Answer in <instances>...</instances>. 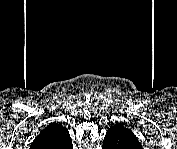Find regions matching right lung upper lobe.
Returning a JSON list of instances; mask_svg holds the SVG:
<instances>
[{
	"label": "right lung upper lobe",
	"instance_id": "right-lung-upper-lobe-1",
	"mask_svg": "<svg viewBox=\"0 0 177 149\" xmlns=\"http://www.w3.org/2000/svg\"><path fill=\"white\" fill-rule=\"evenodd\" d=\"M69 145L72 141L67 128L55 122L44 128L32 143V147L40 149H68Z\"/></svg>",
	"mask_w": 177,
	"mask_h": 149
}]
</instances>
